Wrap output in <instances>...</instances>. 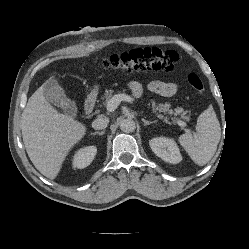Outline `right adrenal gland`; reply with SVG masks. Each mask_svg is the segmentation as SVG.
I'll return each instance as SVG.
<instances>
[{"mask_svg":"<svg viewBox=\"0 0 249 249\" xmlns=\"http://www.w3.org/2000/svg\"><path fill=\"white\" fill-rule=\"evenodd\" d=\"M104 133H105V131L94 132V133H91V135H103Z\"/></svg>","mask_w":249,"mask_h":249,"instance_id":"2a0ac1e0","label":"right adrenal gland"}]
</instances>
